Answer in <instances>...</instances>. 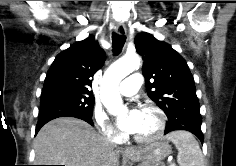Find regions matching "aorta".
Instances as JSON below:
<instances>
[{"label": "aorta", "mask_w": 236, "mask_h": 166, "mask_svg": "<svg viewBox=\"0 0 236 166\" xmlns=\"http://www.w3.org/2000/svg\"><path fill=\"white\" fill-rule=\"evenodd\" d=\"M140 67V58L137 55L124 56L113 63L104 74L100 90L101 101L113 115L126 112L122 103L118 85L123 78Z\"/></svg>", "instance_id": "obj_1"}]
</instances>
